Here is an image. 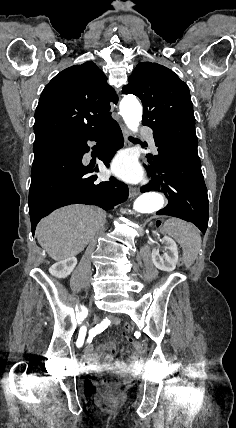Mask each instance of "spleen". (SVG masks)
<instances>
[{
    "mask_svg": "<svg viewBox=\"0 0 236 428\" xmlns=\"http://www.w3.org/2000/svg\"><path fill=\"white\" fill-rule=\"evenodd\" d=\"M163 232L172 236L183 250V260L186 268L194 264L201 248L199 230L190 222H184L179 218H170L163 226Z\"/></svg>",
    "mask_w": 236,
    "mask_h": 428,
    "instance_id": "obj_1",
    "label": "spleen"
}]
</instances>
